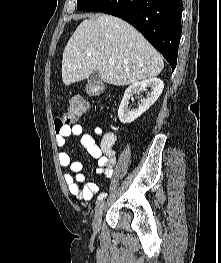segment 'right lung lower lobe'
I'll use <instances>...</instances> for the list:
<instances>
[{
    "label": "right lung lower lobe",
    "instance_id": "1",
    "mask_svg": "<svg viewBox=\"0 0 221 263\" xmlns=\"http://www.w3.org/2000/svg\"><path fill=\"white\" fill-rule=\"evenodd\" d=\"M182 0H103L93 11L117 16L136 29L174 70L181 37Z\"/></svg>",
    "mask_w": 221,
    "mask_h": 263
}]
</instances>
